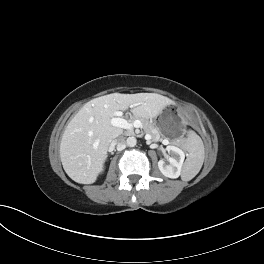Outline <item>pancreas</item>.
<instances>
[{
  "label": "pancreas",
  "mask_w": 264,
  "mask_h": 264,
  "mask_svg": "<svg viewBox=\"0 0 264 264\" xmlns=\"http://www.w3.org/2000/svg\"><path fill=\"white\" fill-rule=\"evenodd\" d=\"M135 119H139L141 121L145 132L149 133L152 136L153 140H156V139L161 140L159 129L154 124L136 115L130 120V122L132 123Z\"/></svg>",
  "instance_id": "1"
}]
</instances>
